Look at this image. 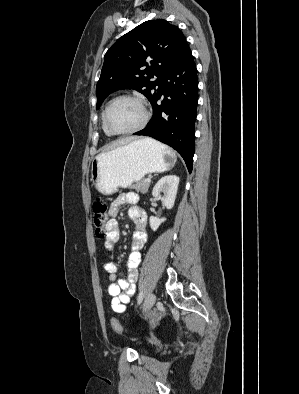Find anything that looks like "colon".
Returning a JSON list of instances; mask_svg holds the SVG:
<instances>
[{
  "label": "colon",
  "mask_w": 299,
  "mask_h": 394,
  "mask_svg": "<svg viewBox=\"0 0 299 394\" xmlns=\"http://www.w3.org/2000/svg\"><path fill=\"white\" fill-rule=\"evenodd\" d=\"M107 221L108 206L102 198L98 197L93 202V224L95 234L98 238H103L106 236ZM112 327L114 331L118 334H121L123 331L121 324L116 318L112 319Z\"/></svg>",
  "instance_id": "colon-1"
}]
</instances>
